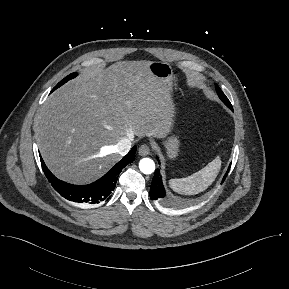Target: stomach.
Wrapping results in <instances>:
<instances>
[{"label":"stomach","instance_id":"0dacf381","mask_svg":"<svg viewBox=\"0 0 289 289\" xmlns=\"http://www.w3.org/2000/svg\"><path fill=\"white\" fill-rule=\"evenodd\" d=\"M150 72L160 81H162L167 88H170L173 81V69L168 62L164 61H150ZM167 153L170 158L176 157L179 149V141L176 137L168 138L165 143Z\"/></svg>","mask_w":289,"mask_h":289}]
</instances>
